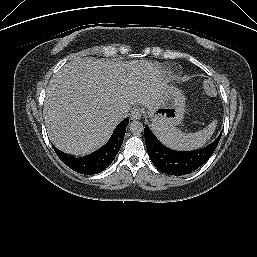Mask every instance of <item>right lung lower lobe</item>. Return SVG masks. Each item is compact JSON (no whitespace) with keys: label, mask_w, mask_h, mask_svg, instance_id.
<instances>
[{"label":"right lung lower lobe","mask_w":257,"mask_h":257,"mask_svg":"<svg viewBox=\"0 0 257 257\" xmlns=\"http://www.w3.org/2000/svg\"><path fill=\"white\" fill-rule=\"evenodd\" d=\"M129 118H125L114 129L109 141L97 151L84 157L74 158L54 150L61 161L69 168L81 174H97L105 170L114 160L124 139Z\"/></svg>","instance_id":"1"}]
</instances>
